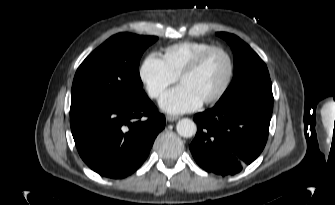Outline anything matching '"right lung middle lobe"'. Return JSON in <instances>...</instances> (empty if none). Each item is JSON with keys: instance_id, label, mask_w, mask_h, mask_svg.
Wrapping results in <instances>:
<instances>
[{"instance_id": "right-lung-middle-lobe-1", "label": "right lung middle lobe", "mask_w": 335, "mask_h": 205, "mask_svg": "<svg viewBox=\"0 0 335 205\" xmlns=\"http://www.w3.org/2000/svg\"><path fill=\"white\" fill-rule=\"evenodd\" d=\"M158 38L118 33L95 49L76 71L71 105L88 101H132L144 95L139 61Z\"/></svg>"}]
</instances>
